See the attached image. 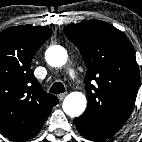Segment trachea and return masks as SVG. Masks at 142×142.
Wrapping results in <instances>:
<instances>
[{
	"label": "trachea",
	"instance_id": "1",
	"mask_svg": "<svg viewBox=\"0 0 142 142\" xmlns=\"http://www.w3.org/2000/svg\"><path fill=\"white\" fill-rule=\"evenodd\" d=\"M49 92L59 94L65 92V88L61 82H55L50 88Z\"/></svg>",
	"mask_w": 142,
	"mask_h": 142
}]
</instances>
